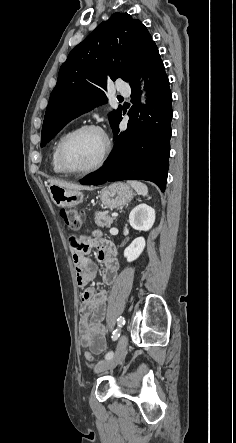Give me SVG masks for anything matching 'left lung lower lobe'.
Listing matches in <instances>:
<instances>
[{
  "label": "left lung lower lobe",
  "mask_w": 236,
  "mask_h": 443,
  "mask_svg": "<svg viewBox=\"0 0 236 443\" xmlns=\"http://www.w3.org/2000/svg\"><path fill=\"white\" fill-rule=\"evenodd\" d=\"M147 89V104L139 116V78L129 84L133 103L128 115V128L119 131L122 114L112 127L115 146L106 165L87 175L81 184L100 185L125 179L152 181L165 191L170 153L172 95L169 80L156 46L151 50L139 76Z\"/></svg>",
  "instance_id": "obj_1"
}]
</instances>
